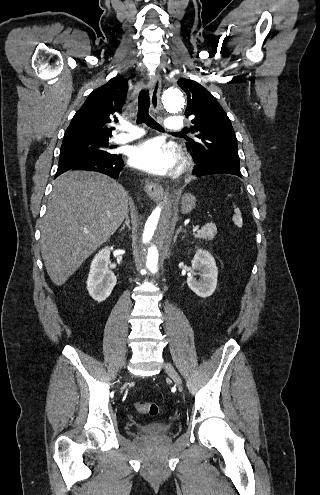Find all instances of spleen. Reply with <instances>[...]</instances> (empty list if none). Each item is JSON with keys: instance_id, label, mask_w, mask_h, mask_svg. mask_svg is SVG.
Segmentation results:
<instances>
[{"instance_id": "obj_1", "label": "spleen", "mask_w": 320, "mask_h": 495, "mask_svg": "<svg viewBox=\"0 0 320 495\" xmlns=\"http://www.w3.org/2000/svg\"><path fill=\"white\" fill-rule=\"evenodd\" d=\"M232 219L235 225H237L238 227H242L243 221L241 217V211L238 208L234 209V215Z\"/></svg>"}]
</instances>
